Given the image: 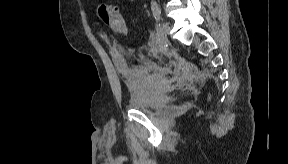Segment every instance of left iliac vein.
<instances>
[{"mask_svg": "<svg viewBox=\"0 0 288 164\" xmlns=\"http://www.w3.org/2000/svg\"><path fill=\"white\" fill-rule=\"evenodd\" d=\"M170 27L168 23L163 22L158 28H157V40L160 45H163L167 41V36L169 33Z\"/></svg>", "mask_w": 288, "mask_h": 164, "instance_id": "left-iliac-vein-1", "label": "left iliac vein"}]
</instances>
